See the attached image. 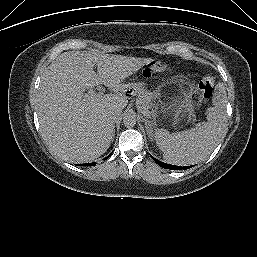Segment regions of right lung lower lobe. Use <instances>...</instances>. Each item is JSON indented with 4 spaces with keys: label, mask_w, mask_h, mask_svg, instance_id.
Segmentation results:
<instances>
[{
    "label": "right lung lower lobe",
    "mask_w": 257,
    "mask_h": 257,
    "mask_svg": "<svg viewBox=\"0 0 257 257\" xmlns=\"http://www.w3.org/2000/svg\"><path fill=\"white\" fill-rule=\"evenodd\" d=\"M109 156H107L106 158H105V160L108 158ZM93 165H95V163H89V164H85V165H81V166H93Z\"/></svg>",
    "instance_id": "98d812e1"
}]
</instances>
